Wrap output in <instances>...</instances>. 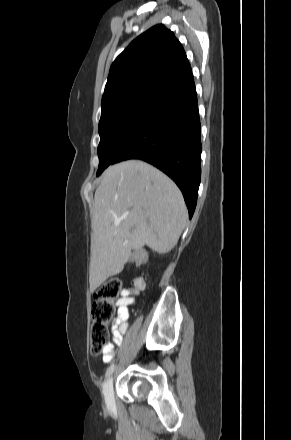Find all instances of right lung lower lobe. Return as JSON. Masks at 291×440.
<instances>
[{
    "label": "right lung lower lobe",
    "instance_id": "right-lung-lower-lobe-1",
    "mask_svg": "<svg viewBox=\"0 0 291 440\" xmlns=\"http://www.w3.org/2000/svg\"><path fill=\"white\" fill-rule=\"evenodd\" d=\"M201 138L193 75L159 93L111 164L140 159L159 168L178 185L191 218L201 179Z\"/></svg>",
    "mask_w": 291,
    "mask_h": 440
}]
</instances>
